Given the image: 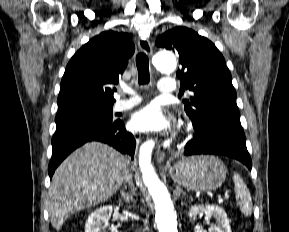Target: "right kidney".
<instances>
[{
	"label": "right kidney",
	"mask_w": 289,
	"mask_h": 232,
	"mask_svg": "<svg viewBox=\"0 0 289 232\" xmlns=\"http://www.w3.org/2000/svg\"><path fill=\"white\" fill-rule=\"evenodd\" d=\"M113 208L110 205L100 207L93 211L85 224V232H106V227L109 226ZM111 232H118L117 228L112 226Z\"/></svg>",
	"instance_id": "1"
}]
</instances>
